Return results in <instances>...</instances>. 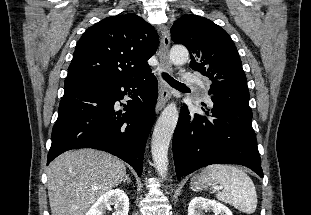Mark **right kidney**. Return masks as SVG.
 Instances as JSON below:
<instances>
[{
    "instance_id": "right-kidney-1",
    "label": "right kidney",
    "mask_w": 311,
    "mask_h": 215,
    "mask_svg": "<svg viewBox=\"0 0 311 215\" xmlns=\"http://www.w3.org/2000/svg\"><path fill=\"white\" fill-rule=\"evenodd\" d=\"M114 205L113 215H128L129 199L121 189L109 190L103 194L89 209L86 215H103L106 209Z\"/></svg>"
}]
</instances>
